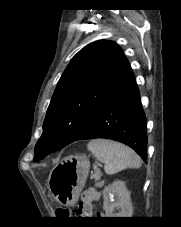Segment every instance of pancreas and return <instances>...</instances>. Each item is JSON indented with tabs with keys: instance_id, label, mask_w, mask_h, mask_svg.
Returning <instances> with one entry per match:
<instances>
[{
	"instance_id": "1",
	"label": "pancreas",
	"mask_w": 181,
	"mask_h": 227,
	"mask_svg": "<svg viewBox=\"0 0 181 227\" xmlns=\"http://www.w3.org/2000/svg\"><path fill=\"white\" fill-rule=\"evenodd\" d=\"M94 178L96 180L95 186L96 187H101L103 183L98 182V180L100 179V174H94Z\"/></svg>"
}]
</instances>
